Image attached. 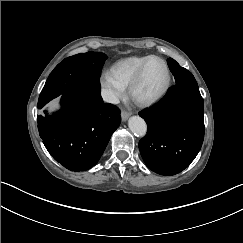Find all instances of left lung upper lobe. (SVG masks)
Segmentation results:
<instances>
[{"label": "left lung upper lobe", "mask_w": 243, "mask_h": 243, "mask_svg": "<svg viewBox=\"0 0 243 243\" xmlns=\"http://www.w3.org/2000/svg\"><path fill=\"white\" fill-rule=\"evenodd\" d=\"M168 66L170 71L172 72L176 84L189 83V84H197L194 76L190 71L181 67L174 59H167Z\"/></svg>", "instance_id": "obj_1"}]
</instances>
